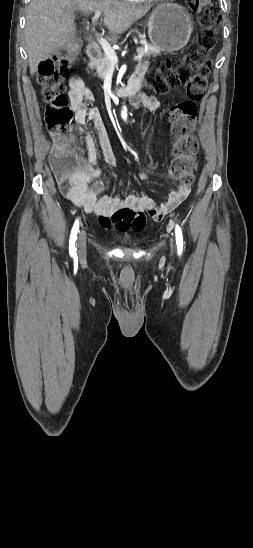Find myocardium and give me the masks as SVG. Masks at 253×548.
<instances>
[{
  "label": "myocardium",
  "mask_w": 253,
  "mask_h": 548,
  "mask_svg": "<svg viewBox=\"0 0 253 548\" xmlns=\"http://www.w3.org/2000/svg\"><path fill=\"white\" fill-rule=\"evenodd\" d=\"M149 1H165V0H149Z\"/></svg>",
  "instance_id": "myocardium-1"
}]
</instances>
